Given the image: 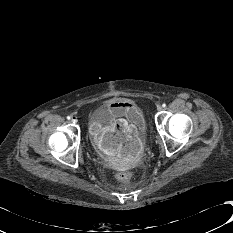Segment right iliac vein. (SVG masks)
I'll return each mask as SVG.
<instances>
[{
  "label": "right iliac vein",
  "instance_id": "right-iliac-vein-1",
  "mask_svg": "<svg viewBox=\"0 0 233 233\" xmlns=\"http://www.w3.org/2000/svg\"><path fill=\"white\" fill-rule=\"evenodd\" d=\"M72 122H73L74 124H76V123H77V119H76V118H73V119H72Z\"/></svg>",
  "mask_w": 233,
  "mask_h": 233
}]
</instances>
